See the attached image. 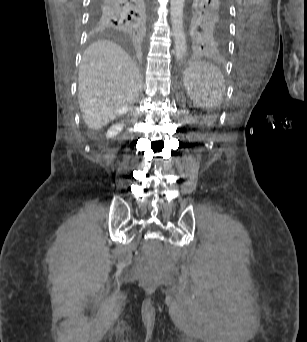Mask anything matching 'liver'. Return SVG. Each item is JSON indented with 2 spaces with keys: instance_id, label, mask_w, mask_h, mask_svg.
I'll return each instance as SVG.
<instances>
[{
  "instance_id": "liver-1",
  "label": "liver",
  "mask_w": 307,
  "mask_h": 342,
  "mask_svg": "<svg viewBox=\"0 0 307 342\" xmlns=\"http://www.w3.org/2000/svg\"><path fill=\"white\" fill-rule=\"evenodd\" d=\"M78 104L85 124L100 130L135 104L141 74L121 46L102 40L85 50L78 72Z\"/></svg>"
}]
</instances>
